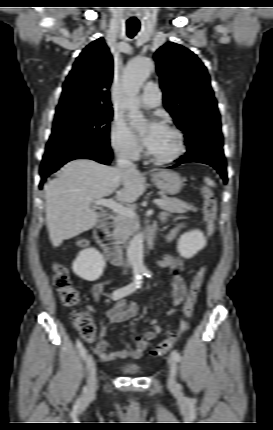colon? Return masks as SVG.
<instances>
[{
	"label": "colon",
	"mask_w": 273,
	"mask_h": 430,
	"mask_svg": "<svg viewBox=\"0 0 273 430\" xmlns=\"http://www.w3.org/2000/svg\"><path fill=\"white\" fill-rule=\"evenodd\" d=\"M203 196V219L209 235L214 233V222L217 214V202L214 194L208 186L202 188ZM82 244L83 242H79ZM54 269V286L59 292L61 300L65 306L74 307L80 303L79 291L73 286L69 277L67 268L61 263H55ZM206 267L202 266L196 272L191 282L186 302L183 306V314L187 319L193 315L194 307L197 302L198 294L204 281ZM73 324L82 337L91 341L96 332L95 324L86 311L75 312L72 317ZM181 326L180 330H183ZM178 341L177 333H170L166 339L158 343L151 351L152 356L158 357L170 351Z\"/></svg>",
	"instance_id": "obj_1"
}]
</instances>
